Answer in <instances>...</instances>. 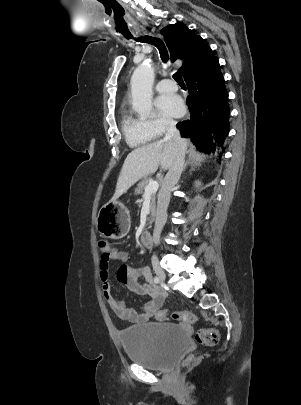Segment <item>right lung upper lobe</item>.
<instances>
[{
	"instance_id": "right-lung-upper-lobe-1",
	"label": "right lung upper lobe",
	"mask_w": 301,
	"mask_h": 405,
	"mask_svg": "<svg viewBox=\"0 0 301 405\" xmlns=\"http://www.w3.org/2000/svg\"><path fill=\"white\" fill-rule=\"evenodd\" d=\"M161 34L164 36L172 61L177 59L184 61L179 69L184 77L216 59L204 39L185 25H168L161 30Z\"/></svg>"
}]
</instances>
